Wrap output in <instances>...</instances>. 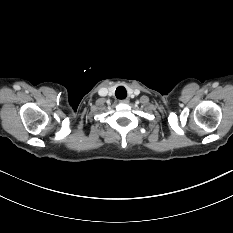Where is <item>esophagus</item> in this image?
I'll return each instance as SVG.
<instances>
[{
    "mask_svg": "<svg viewBox=\"0 0 233 233\" xmlns=\"http://www.w3.org/2000/svg\"><path fill=\"white\" fill-rule=\"evenodd\" d=\"M121 104H129V99H124L120 101Z\"/></svg>",
    "mask_w": 233,
    "mask_h": 233,
    "instance_id": "esophagus-1",
    "label": "esophagus"
}]
</instances>
